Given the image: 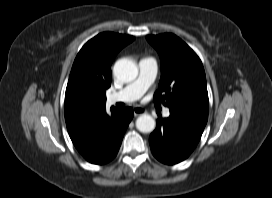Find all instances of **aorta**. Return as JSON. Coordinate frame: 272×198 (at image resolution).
Segmentation results:
<instances>
[{"instance_id": "1", "label": "aorta", "mask_w": 272, "mask_h": 198, "mask_svg": "<svg viewBox=\"0 0 272 198\" xmlns=\"http://www.w3.org/2000/svg\"><path fill=\"white\" fill-rule=\"evenodd\" d=\"M114 75L122 82H130L138 76V68L134 61L123 58L118 60L113 69ZM155 120L148 114H142L136 120V127L142 133H150L155 129Z\"/></svg>"}]
</instances>
